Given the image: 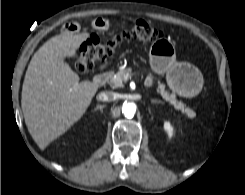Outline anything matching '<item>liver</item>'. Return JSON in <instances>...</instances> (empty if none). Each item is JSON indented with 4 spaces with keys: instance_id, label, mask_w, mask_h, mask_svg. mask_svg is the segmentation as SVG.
I'll list each match as a JSON object with an SVG mask.
<instances>
[{
    "instance_id": "6515ba94",
    "label": "liver",
    "mask_w": 245,
    "mask_h": 195,
    "mask_svg": "<svg viewBox=\"0 0 245 195\" xmlns=\"http://www.w3.org/2000/svg\"><path fill=\"white\" fill-rule=\"evenodd\" d=\"M89 33L58 35L33 55L25 74L21 106L29 133L40 149L65 133L86 112L98 87L64 62L73 57Z\"/></svg>"
}]
</instances>
